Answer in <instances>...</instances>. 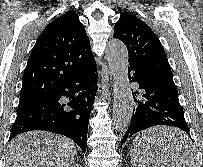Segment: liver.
<instances>
[{"label":"liver","instance_id":"6515ba94","mask_svg":"<svg viewBox=\"0 0 203 167\" xmlns=\"http://www.w3.org/2000/svg\"><path fill=\"white\" fill-rule=\"evenodd\" d=\"M184 136L178 129L160 126L143 131L137 140L164 167H178L179 163L183 167L189 151L181 150L178 145L183 143ZM76 155L71 139L50 132L31 131L11 140L6 152V167H72Z\"/></svg>","mask_w":203,"mask_h":167}]
</instances>
